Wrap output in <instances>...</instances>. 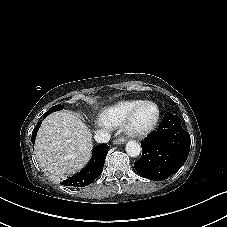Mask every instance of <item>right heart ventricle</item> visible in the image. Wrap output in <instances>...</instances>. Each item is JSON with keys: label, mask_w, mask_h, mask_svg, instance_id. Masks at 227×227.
<instances>
[{"label": "right heart ventricle", "mask_w": 227, "mask_h": 227, "mask_svg": "<svg viewBox=\"0 0 227 227\" xmlns=\"http://www.w3.org/2000/svg\"><path fill=\"white\" fill-rule=\"evenodd\" d=\"M142 100H123L101 110L97 116V123L101 126L118 125Z\"/></svg>", "instance_id": "1"}]
</instances>
